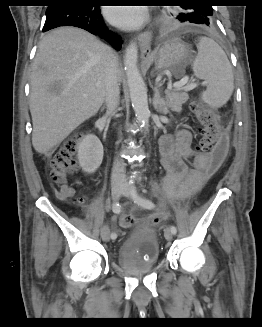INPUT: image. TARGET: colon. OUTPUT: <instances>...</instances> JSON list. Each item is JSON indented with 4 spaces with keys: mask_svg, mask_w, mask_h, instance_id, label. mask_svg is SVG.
<instances>
[{
    "mask_svg": "<svg viewBox=\"0 0 262 327\" xmlns=\"http://www.w3.org/2000/svg\"><path fill=\"white\" fill-rule=\"evenodd\" d=\"M191 110L198 120L199 144L198 152L208 154V161L211 171L218 170L224 163L229 152L227 135L221 128L217 115L205 105L194 101L191 103ZM81 136L67 141L52 157L50 161L49 175L53 184L59 187V194L62 198H72L74 189L69 186L68 178L77 169V144ZM165 214L160 213L151 216L153 224L159 223ZM134 218L131 215L123 214L119 219L122 227H129L133 224Z\"/></svg>",
    "mask_w": 262,
    "mask_h": 327,
    "instance_id": "colon-1",
    "label": "colon"
}]
</instances>
